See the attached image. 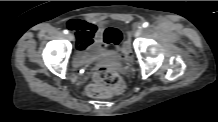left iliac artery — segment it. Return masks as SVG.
<instances>
[{
	"mask_svg": "<svg viewBox=\"0 0 218 122\" xmlns=\"http://www.w3.org/2000/svg\"><path fill=\"white\" fill-rule=\"evenodd\" d=\"M148 25H149L148 22H144V23H143V27H144V28L148 27Z\"/></svg>",
	"mask_w": 218,
	"mask_h": 122,
	"instance_id": "obj_1",
	"label": "left iliac artery"
}]
</instances>
